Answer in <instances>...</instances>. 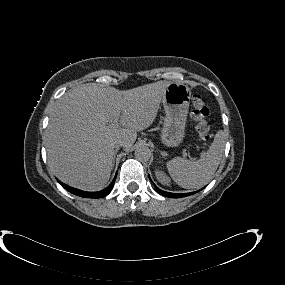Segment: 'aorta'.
Returning <instances> with one entry per match:
<instances>
[{
	"label": "aorta",
	"instance_id": "obj_1",
	"mask_svg": "<svg viewBox=\"0 0 285 285\" xmlns=\"http://www.w3.org/2000/svg\"><path fill=\"white\" fill-rule=\"evenodd\" d=\"M151 151L147 146L141 145L138 146L135 150V157L139 161L146 162L150 159Z\"/></svg>",
	"mask_w": 285,
	"mask_h": 285
}]
</instances>
